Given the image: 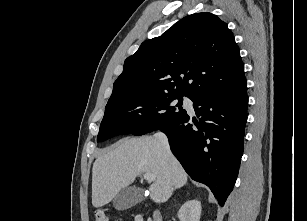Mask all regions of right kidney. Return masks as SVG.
Instances as JSON below:
<instances>
[{
  "label": "right kidney",
  "mask_w": 307,
  "mask_h": 221,
  "mask_svg": "<svg viewBox=\"0 0 307 221\" xmlns=\"http://www.w3.org/2000/svg\"><path fill=\"white\" fill-rule=\"evenodd\" d=\"M201 203L198 200L186 201L178 211L180 221H200Z\"/></svg>",
  "instance_id": "obj_1"
}]
</instances>
